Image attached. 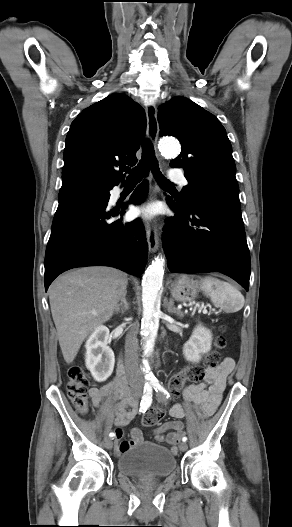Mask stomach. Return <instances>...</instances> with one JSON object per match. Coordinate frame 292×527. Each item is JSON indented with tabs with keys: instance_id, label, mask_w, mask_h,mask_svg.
<instances>
[{
	"instance_id": "0dacf381",
	"label": "stomach",
	"mask_w": 292,
	"mask_h": 527,
	"mask_svg": "<svg viewBox=\"0 0 292 527\" xmlns=\"http://www.w3.org/2000/svg\"><path fill=\"white\" fill-rule=\"evenodd\" d=\"M172 297L181 302L193 301L198 294V285L188 276H180L171 283Z\"/></svg>"
}]
</instances>
